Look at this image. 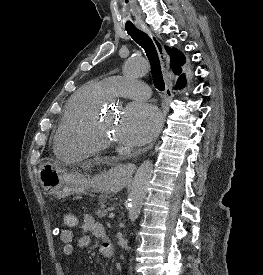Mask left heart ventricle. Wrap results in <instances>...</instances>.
<instances>
[{"mask_svg":"<svg viewBox=\"0 0 263 275\" xmlns=\"http://www.w3.org/2000/svg\"><path fill=\"white\" fill-rule=\"evenodd\" d=\"M118 119L112 114H106L102 116V132L105 136L118 140L117 126Z\"/></svg>","mask_w":263,"mask_h":275,"instance_id":"left-heart-ventricle-1","label":"left heart ventricle"}]
</instances>
